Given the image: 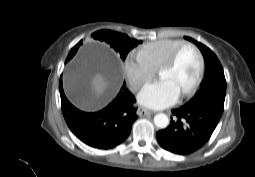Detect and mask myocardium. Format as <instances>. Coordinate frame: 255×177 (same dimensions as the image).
Masks as SVG:
<instances>
[{
	"label": "myocardium",
	"instance_id": "myocardium-1",
	"mask_svg": "<svg viewBox=\"0 0 255 177\" xmlns=\"http://www.w3.org/2000/svg\"><path fill=\"white\" fill-rule=\"evenodd\" d=\"M185 48H192L195 53L198 56V60H199V66H198V72H197V76L194 80V82L192 83V85L186 89L183 93H181V97H187L189 95H191L192 93H194L196 91V89L199 87L203 75H204V69H205V61H204V56L201 52V50L193 43L191 42H184L182 43L180 46H178L173 53L171 54V56L168 58V60L166 62H164L160 67H159V72L163 71V70H168L171 69L172 67L175 66L181 52L185 49Z\"/></svg>",
	"mask_w": 255,
	"mask_h": 177
}]
</instances>
